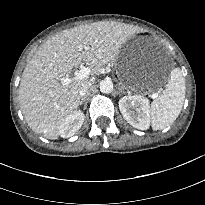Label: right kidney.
<instances>
[{"label":"right kidney","mask_w":205,"mask_h":205,"mask_svg":"<svg viewBox=\"0 0 205 205\" xmlns=\"http://www.w3.org/2000/svg\"><path fill=\"white\" fill-rule=\"evenodd\" d=\"M84 114L82 111H75L62 120L59 127V135L63 138L73 136L83 125Z\"/></svg>","instance_id":"1"}]
</instances>
